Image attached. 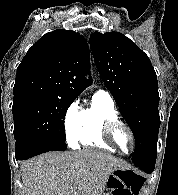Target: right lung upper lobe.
I'll return each mask as SVG.
<instances>
[{
    "label": "right lung upper lobe",
    "mask_w": 178,
    "mask_h": 195,
    "mask_svg": "<svg viewBox=\"0 0 178 195\" xmlns=\"http://www.w3.org/2000/svg\"><path fill=\"white\" fill-rule=\"evenodd\" d=\"M85 38L58 29L40 38L17 68L14 96L38 93L76 99L91 83ZM89 73V80L85 76Z\"/></svg>",
    "instance_id": "1"
}]
</instances>
